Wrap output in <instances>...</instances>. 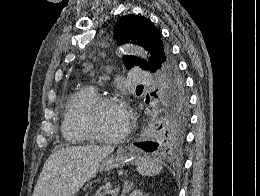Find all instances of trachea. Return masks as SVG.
<instances>
[{
    "mask_svg": "<svg viewBox=\"0 0 260 196\" xmlns=\"http://www.w3.org/2000/svg\"><path fill=\"white\" fill-rule=\"evenodd\" d=\"M137 88H143V85H138Z\"/></svg>",
    "mask_w": 260,
    "mask_h": 196,
    "instance_id": "3493384b",
    "label": "trachea"
}]
</instances>
